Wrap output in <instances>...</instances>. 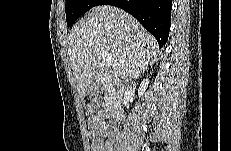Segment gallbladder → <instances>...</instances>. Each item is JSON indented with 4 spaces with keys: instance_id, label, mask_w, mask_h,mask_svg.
<instances>
[{
    "instance_id": "gallbladder-1",
    "label": "gallbladder",
    "mask_w": 231,
    "mask_h": 151,
    "mask_svg": "<svg viewBox=\"0 0 231 151\" xmlns=\"http://www.w3.org/2000/svg\"><path fill=\"white\" fill-rule=\"evenodd\" d=\"M95 73H96V72H95ZM93 82H94V80L92 81L91 85L87 88L86 93H88V92L91 91V86H92Z\"/></svg>"
}]
</instances>
